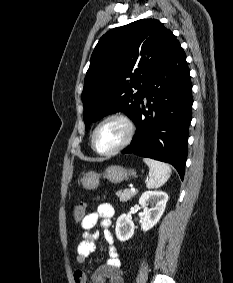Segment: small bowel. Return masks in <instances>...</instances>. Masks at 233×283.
<instances>
[{"mask_svg":"<svg viewBox=\"0 0 233 283\" xmlns=\"http://www.w3.org/2000/svg\"><path fill=\"white\" fill-rule=\"evenodd\" d=\"M114 209L109 203H101L97 209L85 216L81 226L84 230L77 245L76 259L83 263L95 249V240L98 234L91 230L99 223L103 230V237L108 246V260L100 266L93 275V283H124L121 274V260L114 245V237L110 230ZM75 283H86V275L77 270L74 273Z\"/></svg>","mask_w":233,"mask_h":283,"instance_id":"1","label":"small bowel"}]
</instances>
